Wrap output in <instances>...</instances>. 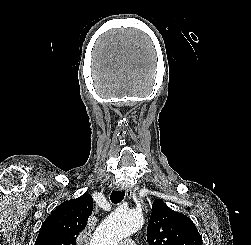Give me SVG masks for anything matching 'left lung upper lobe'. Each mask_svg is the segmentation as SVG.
<instances>
[{
  "label": "left lung upper lobe",
  "instance_id": "left-lung-upper-lobe-1",
  "mask_svg": "<svg viewBox=\"0 0 251 245\" xmlns=\"http://www.w3.org/2000/svg\"><path fill=\"white\" fill-rule=\"evenodd\" d=\"M147 241L149 245H203L190 218L168 208L161 199L153 202Z\"/></svg>",
  "mask_w": 251,
  "mask_h": 245
}]
</instances>
